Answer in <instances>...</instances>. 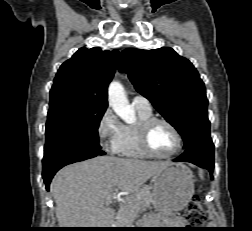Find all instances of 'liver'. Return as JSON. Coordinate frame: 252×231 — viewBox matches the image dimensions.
Returning a JSON list of instances; mask_svg holds the SVG:
<instances>
[{
	"instance_id": "1",
	"label": "liver",
	"mask_w": 252,
	"mask_h": 231,
	"mask_svg": "<svg viewBox=\"0 0 252 231\" xmlns=\"http://www.w3.org/2000/svg\"><path fill=\"white\" fill-rule=\"evenodd\" d=\"M169 162L99 156L66 166L51 182L56 217L61 228H109L115 212L105 200L118 193L137 192Z\"/></svg>"
}]
</instances>
